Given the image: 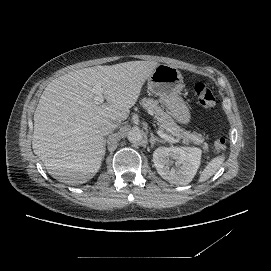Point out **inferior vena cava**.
Wrapping results in <instances>:
<instances>
[{
    "mask_svg": "<svg viewBox=\"0 0 271 271\" xmlns=\"http://www.w3.org/2000/svg\"><path fill=\"white\" fill-rule=\"evenodd\" d=\"M119 126V122L114 120H109L101 126V131L104 135L109 134L111 131L115 130Z\"/></svg>",
    "mask_w": 271,
    "mask_h": 271,
    "instance_id": "602c4592",
    "label": "inferior vena cava"
}]
</instances>
